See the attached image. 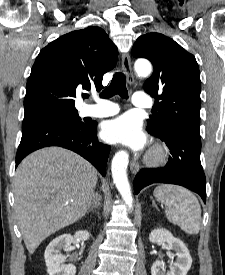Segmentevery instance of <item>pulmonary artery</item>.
I'll return each mask as SVG.
<instances>
[{
	"label": "pulmonary artery",
	"instance_id": "obj_1",
	"mask_svg": "<svg viewBox=\"0 0 225 275\" xmlns=\"http://www.w3.org/2000/svg\"><path fill=\"white\" fill-rule=\"evenodd\" d=\"M132 103L140 108H149L151 106V99L144 92H136ZM118 112V105L105 100H99L97 105L86 106L82 111L83 115L91 117H107L115 115Z\"/></svg>",
	"mask_w": 225,
	"mask_h": 275
}]
</instances>
